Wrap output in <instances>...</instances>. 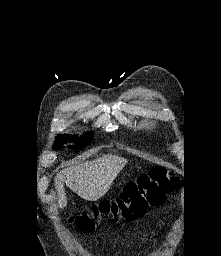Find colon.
Instances as JSON below:
<instances>
[{
  "label": "colon",
  "mask_w": 221,
  "mask_h": 256,
  "mask_svg": "<svg viewBox=\"0 0 221 256\" xmlns=\"http://www.w3.org/2000/svg\"><path fill=\"white\" fill-rule=\"evenodd\" d=\"M177 186V178L171 176L163 167L153 166L136 180L127 183L115 199L100 202L91 212L72 217L70 223L81 231L91 232L102 217L115 220L142 217L148 207L162 204L166 195Z\"/></svg>",
  "instance_id": "5ec220e1"
}]
</instances>
